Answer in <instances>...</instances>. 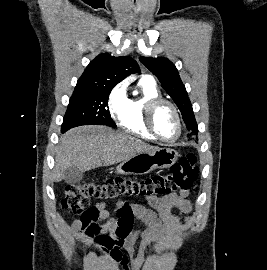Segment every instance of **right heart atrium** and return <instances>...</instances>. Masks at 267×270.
Segmentation results:
<instances>
[{"mask_svg":"<svg viewBox=\"0 0 267 270\" xmlns=\"http://www.w3.org/2000/svg\"><path fill=\"white\" fill-rule=\"evenodd\" d=\"M127 102L126 83L120 82L111 89L107 98V107L110 116L113 119H120L124 113Z\"/></svg>","mask_w":267,"mask_h":270,"instance_id":"right-heart-atrium-1","label":"right heart atrium"}]
</instances>
